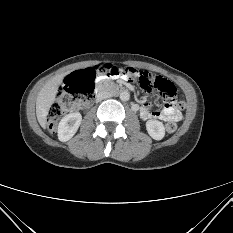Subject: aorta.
<instances>
[{"label": "aorta", "instance_id": "obj_1", "mask_svg": "<svg viewBox=\"0 0 233 233\" xmlns=\"http://www.w3.org/2000/svg\"><path fill=\"white\" fill-rule=\"evenodd\" d=\"M120 99L122 101H128L130 99V94L128 91H123L120 93Z\"/></svg>", "mask_w": 233, "mask_h": 233}]
</instances>
